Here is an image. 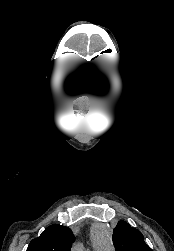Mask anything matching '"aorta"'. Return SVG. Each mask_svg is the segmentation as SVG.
<instances>
[{"label":"aorta","instance_id":"aorta-1","mask_svg":"<svg viewBox=\"0 0 174 251\" xmlns=\"http://www.w3.org/2000/svg\"><path fill=\"white\" fill-rule=\"evenodd\" d=\"M106 244L107 246H109V239H106Z\"/></svg>","mask_w":174,"mask_h":251}]
</instances>
